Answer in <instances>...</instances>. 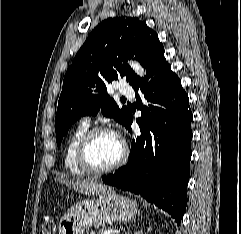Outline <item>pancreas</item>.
Segmentation results:
<instances>
[{"instance_id":"1","label":"pancreas","mask_w":241,"mask_h":234,"mask_svg":"<svg viewBox=\"0 0 241 234\" xmlns=\"http://www.w3.org/2000/svg\"><path fill=\"white\" fill-rule=\"evenodd\" d=\"M110 228H102L97 234H104L106 231H108ZM95 234V233H91ZM112 234V233H111Z\"/></svg>"}]
</instances>
